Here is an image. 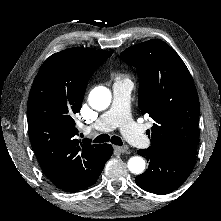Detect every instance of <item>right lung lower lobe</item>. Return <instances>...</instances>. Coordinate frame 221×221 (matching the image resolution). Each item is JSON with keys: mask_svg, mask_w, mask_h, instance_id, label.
Wrapping results in <instances>:
<instances>
[{"mask_svg": "<svg viewBox=\"0 0 221 221\" xmlns=\"http://www.w3.org/2000/svg\"><path fill=\"white\" fill-rule=\"evenodd\" d=\"M112 153H113L112 146L110 144H104V155H103L101 165L97 169L96 174L94 175V177H93L91 183L89 184V186L93 185L97 181L99 175L101 174V172L104 168V165H105L106 161L111 157Z\"/></svg>", "mask_w": 221, "mask_h": 221, "instance_id": "98d812e1", "label": "right lung lower lobe"}]
</instances>
